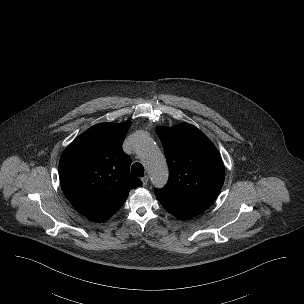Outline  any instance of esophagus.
I'll list each match as a JSON object with an SVG mask.
<instances>
[{
  "label": "esophagus",
  "instance_id": "34e87169",
  "mask_svg": "<svg viewBox=\"0 0 304 304\" xmlns=\"http://www.w3.org/2000/svg\"><path fill=\"white\" fill-rule=\"evenodd\" d=\"M143 186H146L148 184L149 178L148 176H144L141 178Z\"/></svg>",
  "mask_w": 304,
  "mask_h": 304
}]
</instances>
